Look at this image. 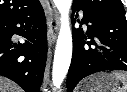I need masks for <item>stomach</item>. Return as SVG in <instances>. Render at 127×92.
<instances>
[{"label":"stomach","mask_w":127,"mask_h":92,"mask_svg":"<svg viewBox=\"0 0 127 92\" xmlns=\"http://www.w3.org/2000/svg\"><path fill=\"white\" fill-rule=\"evenodd\" d=\"M119 88V82L108 74L95 75L84 82L81 92H114Z\"/></svg>","instance_id":"stomach-1"}]
</instances>
